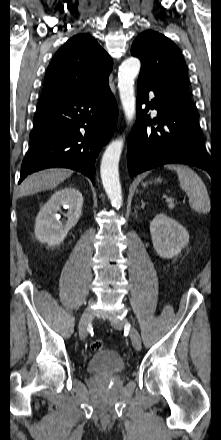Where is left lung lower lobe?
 Here are the masks:
<instances>
[{
  "mask_svg": "<svg viewBox=\"0 0 221 440\" xmlns=\"http://www.w3.org/2000/svg\"><path fill=\"white\" fill-rule=\"evenodd\" d=\"M137 92V120L128 139L129 175L168 163L197 166L211 174L212 163L193 104L158 89L144 78L138 79ZM149 92L155 98L148 103ZM150 109L157 110L154 120L147 115ZM153 124L158 127L149 128Z\"/></svg>",
  "mask_w": 221,
  "mask_h": 440,
  "instance_id": "left-lung-lower-lobe-1",
  "label": "left lung lower lobe"
}]
</instances>
